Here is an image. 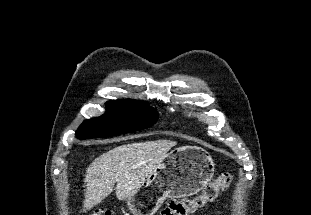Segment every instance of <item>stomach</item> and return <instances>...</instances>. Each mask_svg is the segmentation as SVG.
Segmentation results:
<instances>
[{
    "instance_id": "stomach-1",
    "label": "stomach",
    "mask_w": 311,
    "mask_h": 215,
    "mask_svg": "<svg viewBox=\"0 0 311 215\" xmlns=\"http://www.w3.org/2000/svg\"><path fill=\"white\" fill-rule=\"evenodd\" d=\"M214 168L205 149L178 147L166 155L139 191L127 200V206L133 215H153L166 198L188 197L201 191L211 180Z\"/></svg>"
}]
</instances>
